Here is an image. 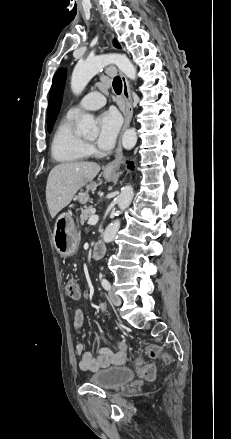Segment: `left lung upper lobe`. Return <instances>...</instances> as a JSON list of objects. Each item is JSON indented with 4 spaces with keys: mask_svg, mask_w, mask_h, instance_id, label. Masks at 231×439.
<instances>
[{
    "mask_svg": "<svg viewBox=\"0 0 231 439\" xmlns=\"http://www.w3.org/2000/svg\"><path fill=\"white\" fill-rule=\"evenodd\" d=\"M114 45L117 48L120 47L116 41L114 42ZM65 80H66V70L61 68L54 75L52 86L50 89L48 117H47L49 132L52 130L53 124L60 110Z\"/></svg>",
    "mask_w": 231,
    "mask_h": 439,
    "instance_id": "1",
    "label": "left lung upper lobe"
}]
</instances>
